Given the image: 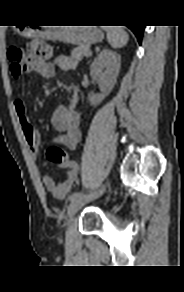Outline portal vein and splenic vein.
Segmentation results:
<instances>
[{"mask_svg":"<svg viewBox=\"0 0 184 292\" xmlns=\"http://www.w3.org/2000/svg\"><path fill=\"white\" fill-rule=\"evenodd\" d=\"M91 54H92V52H91V51H89L88 55H91Z\"/></svg>","mask_w":184,"mask_h":292,"instance_id":"18ae733b","label":"portal vein and splenic vein"}]
</instances>
